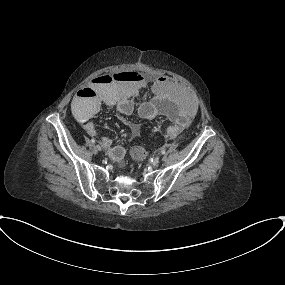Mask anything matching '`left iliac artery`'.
Segmentation results:
<instances>
[{
  "label": "left iliac artery",
  "instance_id": "obj_1",
  "mask_svg": "<svg viewBox=\"0 0 285 285\" xmlns=\"http://www.w3.org/2000/svg\"><path fill=\"white\" fill-rule=\"evenodd\" d=\"M161 153H162V154H165V151H164V150H162V151H161Z\"/></svg>",
  "mask_w": 285,
  "mask_h": 285
}]
</instances>
